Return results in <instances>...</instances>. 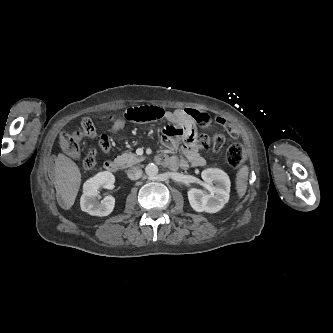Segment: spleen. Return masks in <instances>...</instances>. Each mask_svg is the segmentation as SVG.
<instances>
[{"label":"spleen","mask_w":333,"mask_h":333,"mask_svg":"<svg viewBox=\"0 0 333 333\" xmlns=\"http://www.w3.org/2000/svg\"><path fill=\"white\" fill-rule=\"evenodd\" d=\"M248 181V167L242 166L237 173L236 177V190L239 196H244L247 189Z\"/></svg>","instance_id":"3e777b00"}]
</instances>
